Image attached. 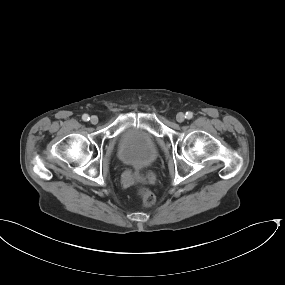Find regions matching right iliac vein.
<instances>
[{"label": "right iliac vein", "instance_id": "obj_1", "mask_svg": "<svg viewBox=\"0 0 285 285\" xmlns=\"http://www.w3.org/2000/svg\"><path fill=\"white\" fill-rule=\"evenodd\" d=\"M98 121H99V119H98L97 116H91L90 122H91L92 124L95 125V124L98 123Z\"/></svg>", "mask_w": 285, "mask_h": 285}]
</instances>
